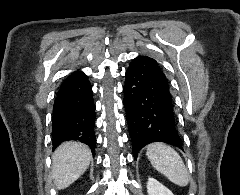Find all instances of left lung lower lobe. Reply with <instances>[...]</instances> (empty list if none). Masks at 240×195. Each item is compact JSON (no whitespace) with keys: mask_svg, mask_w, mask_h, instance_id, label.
<instances>
[{"mask_svg":"<svg viewBox=\"0 0 240 195\" xmlns=\"http://www.w3.org/2000/svg\"><path fill=\"white\" fill-rule=\"evenodd\" d=\"M125 78L124 106L134 159L142 147L154 141L183 150L168 80L158 63L148 56H139L131 61Z\"/></svg>","mask_w":240,"mask_h":195,"instance_id":"0a47b994","label":"left lung lower lobe"}]
</instances>
